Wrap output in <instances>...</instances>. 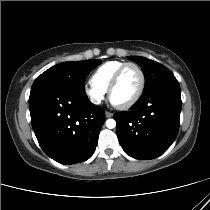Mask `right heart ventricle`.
Masks as SVG:
<instances>
[{
  "mask_svg": "<svg viewBox=\"0 0 210 210\" xmlns=\"http://www.w3.org/2000/svg\"><path fill=\"white\" fill-rule=\"evenodd\" d=\"M124 63L119 60H111L103 63L93 72L91 76L92 84L107 91L115 72Z\"/></svg>",
  "mask_w": 210,
  "mask_h": 210,
  "instance_id": "obj_1",
  "label": "right heart ventricle"
}]
</instances>
